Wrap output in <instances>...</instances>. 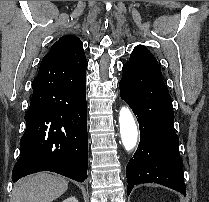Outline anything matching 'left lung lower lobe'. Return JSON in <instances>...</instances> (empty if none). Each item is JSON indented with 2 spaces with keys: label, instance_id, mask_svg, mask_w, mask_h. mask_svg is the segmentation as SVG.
I'll list each match as a JSON object with an SVG mask.
<instances>
[{
  "label": "left lung lower lobe",
  "instance_id": "left-lung-lower-lobe-1",
  "mask_svg": "<svg viewBox=\"0 0 209 202\" xmlns=\"http://www.w3.org/2000/svg\"><path fill=\"white\" fill-rule=\"evenodd\" d=\"M121 98L138 117L140 143L126 166L127 194L140 183L156 182L185 194L179 138L169 91L161 77L124 64Z\"/></svg>",
  "mask_w": 209,
  "mask_h": 202
}]
</instances>
